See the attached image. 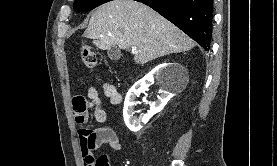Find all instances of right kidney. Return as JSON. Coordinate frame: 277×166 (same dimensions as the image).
<instances>
[{"label":"right kidney","instance_id":"right-kidney-1","mask_svg":"<svg viewBox=\"0 0 277 166\" xmlns=\"http://www.w3.org/2000/svg\"><path fill=\"white\" fill-rule=\"evenodd\" d=\"M175 75L176 72L172 69L170 64L160 65L131 87L125 97L123 109L125 124L131 131H139L142 128V123H147L150 117L160 112L165 107L167 102L171 99L172 94L165 90L162 91V94L158 96V100L151 104L148 113L143 116L141 115L140 117L135 116L137 111H135L134 107L136 104H138L136 98L139 97L141 92L148 89L154 78H165L162 86L163 88H167L171 86Z\"/></svg>","mask_w":277,"mask_h":166}]
</instances>
